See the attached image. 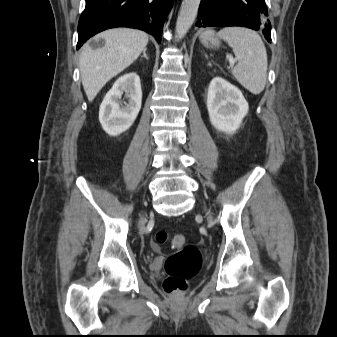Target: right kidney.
<instances>
[{"mask_svg": "<svg viewBox=\"0 0 337 337\" xmlns=\"http://www.w3.org/2000/svg\"><path fill=\"white\" fill-rule=\"evenodd\" d=\"M125 93L128 103H119ZM142 102L140 78L135 72L119 77L113 87L105 95L99 109V121L104 131L117 136L128 130L134 123Z\"/></svg>", "mask_w": 337, "mask_h": 337, "instance_id": "right-kidney-1", "label": "right kidney"}]
</instances>
